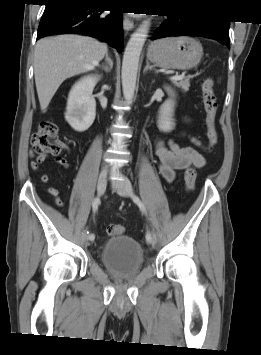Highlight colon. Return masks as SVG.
<instances>
[{"label":"colon","mask_w":261,"mask_h":355,"mask_svg":"<svg viewBox=\"0 0 261 355\" xmlns=\"http://www.w3.org/2000/svg\"><path fill=\"white\" fill-rule=\"evenodd\" d=\"M202 98L205 111V123L207 127V139L210 148H213L218 142V133L216 130L217 116V98L214 92V81L207 79L202 85ZM31 145L34 152L40 158L54 157L59 155L64 149V143L58 136L56 126L50 122H43L33 134ZM196 170L188 168L184 172V181L187 190L191 191L195 187ZM124 226L121 224H112L107 228L109 236H117L124 233Z\"/></svg>","instance_id":"colon-1"}]
</instances>
